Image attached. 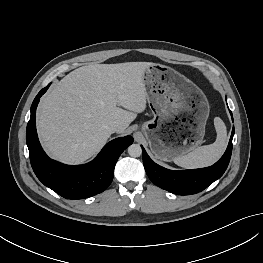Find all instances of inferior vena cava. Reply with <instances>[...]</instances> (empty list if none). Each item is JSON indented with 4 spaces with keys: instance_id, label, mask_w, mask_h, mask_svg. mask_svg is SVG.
I'll return each mask as SVG.
<instances>
[{
    "instance_id": "1",
    "label": "inferior vena cava",
    "mask_w": 263,
    "mask_h": 263,
    "mask_svg": "<svg viewBox=\"0 0 263 263\" xmlns=\"http://www.w3.org/2000/svg\"><path fill=\"white\" fill-rule=\"evenodd\" d=\"M110 133H115L119 129V124L116 122H112L106 125L105 127Z\"/></svg>"
}]
</instances>
